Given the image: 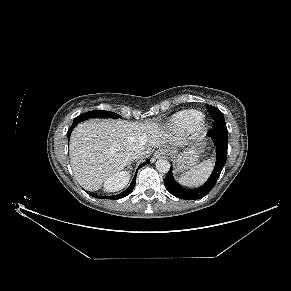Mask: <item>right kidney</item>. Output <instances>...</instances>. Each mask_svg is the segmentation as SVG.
<instances>
[{"label": "right kidney", "instance_id": "obj_1", "mask_svg": "<svg viewBox=\"0 0 291 291\" xmlns=\"http://www.w3.org/2000/svg\"><path fill=\"white\" fill-rule=\"evenodd\" d=\"M129 177L130 175L128 172H118L105 181L104 189L110 192L117 191L124 187V185L128 182Z\"/></svg>", "mask_w": 291, "mask_h": 291}]
</instances>
